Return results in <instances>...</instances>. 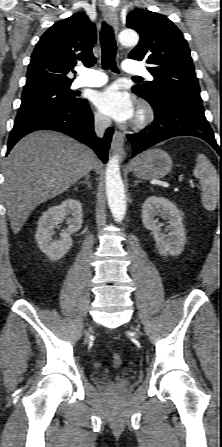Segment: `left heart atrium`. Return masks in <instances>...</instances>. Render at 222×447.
Returning a JSON list of instances; mask_svg holds the SVG:
<instances>
[{"mask_svg": "<svg viewBox=\"0 0 222 447\" xmlns=\"http://www.w3.org/2000/svg\"><path fill=\"white\" fill-rule=\"evenodd\" d=\"M94 103L100 112L120 123L128 122L135 114L131 97L116 86L97 93Z\"/></svg>", "mask_w": 222, "mask_h": 447, "instance_id": "39dd6f15", "label": "left heart atrium"}]
</instances>
